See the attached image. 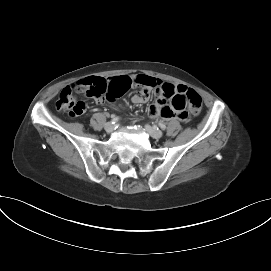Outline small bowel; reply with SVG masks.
Returning <instances> with one entry per match:
<instances>
[{
	"label": "small bowel",
	"mask_w": 271,
	"mask_h": 271,
	"mask_svg": "<svg viewBox=\"0 0 271 271\" xmlns=\"http://www.w3.org/2000/svg\"><path fill=\"white\" fill-rule=\"evenodd\" d=\"M81 84V92L93 97L98 103H103L104 99L116 103L124 94L130 93L140 86L141 89L131 97V101L134 104H143L149 101L151 94H154L157 100L148 108V114L151 117L175 118L181 121H187L189 117L184 108H177L172 102L176 94L187 91V87L184 85H174L149 75L131 73L106 79L89 77L84 79ZM168 99H171V103H168Z\"/></svg>",
	"instance_id": "c3829d8e"
}]
</instances>
